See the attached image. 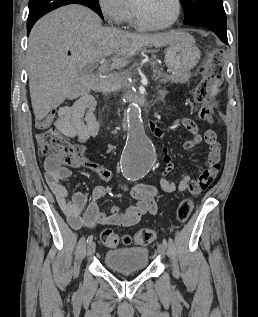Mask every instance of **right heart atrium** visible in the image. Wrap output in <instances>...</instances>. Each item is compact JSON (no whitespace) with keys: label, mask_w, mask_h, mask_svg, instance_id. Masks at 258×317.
<instances>
[{"label":"right heart atrium","mask_w":258,"mask_h":317,"mask_svg":"<svg viewBox=\"0 0 258 317\" xmlns=\"http://www.w3.org/2000/svg\"><path fill=\"white\" fill-rule=\"evenodd\" d=\"M99 9L110 26H122L129 14L127 0H100Z\"/></svg>","instance_id":"obj_1"}]
</instances>
